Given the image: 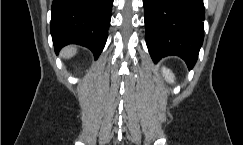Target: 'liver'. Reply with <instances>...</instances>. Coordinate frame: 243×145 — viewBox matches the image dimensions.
Masks as SVG:
<instances>
[{
    "instance_id": "obj_1",
    "label": "liver",
    "mask_w": 243,
    "mask_h": 145,
    "mask_svg": "<svg viewBox=\"0 0 243 145\" xmlns=\"http://www.w3.org/2000/svg\"><path fill=\"white\" fill-rule=\"evenodd\" d=\"M76 54V47L74 46H68L65 47L62 52H61V56L63 58H71Z\"/></svg>"
}]
</instances>
